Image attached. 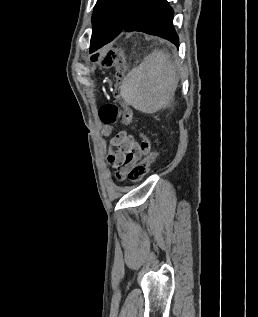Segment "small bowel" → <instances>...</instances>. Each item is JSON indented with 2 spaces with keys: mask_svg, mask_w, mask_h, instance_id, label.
Instances as JSON below:
<instances>
[{
  "mask_svg": "<svg viewBox=\"0 0 258 317\" xmlns=\"http://www.w3.org/2000/svg\"><path fill=\"white\" fill-rule=\"evenodd\" d=\"M140 138L138 141L128 132L121 131L111 140L107 159L119 180H124L130 168L150 150V140L143 134Z\"/></svg>",
  "mask_w": 258,
  "mask_h": 317,
  "instance_id": "small-bowel-1",
  "label": "small bowel"
}]
</instances>
